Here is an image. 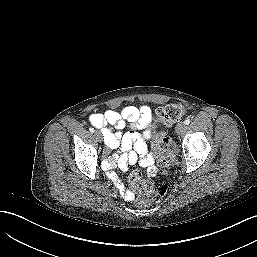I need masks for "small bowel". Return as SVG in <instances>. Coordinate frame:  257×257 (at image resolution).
<instances>
[{
    "mask_svg": "<svg viewBox=\"0 0 257 257\" xmlns=\"http://www.w3.org/2000/svg\"><path fill=\"white\" fill-rule=\"evenodd\" d=\"M151 120L152 111L146 105L126 106L120 111L109 109L104 113H92L89 116V122L100 129L106 145L111 149L119 148L121 151L108 157L103 163V169L126 200H132L133 194L125 188L113 170L118 168L126 172L130 165L138 163L147 169L149 177L154 176V155L146 144L152 136L149 129ZM113 128L118 131L115 132Z\"/></svg>",
    "mask_w": 257,
    "mask_h": 257,
    "instance_id": "1",
    "label": "small bowel"
}]
</instances>
